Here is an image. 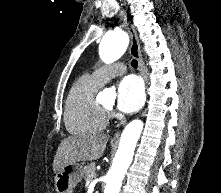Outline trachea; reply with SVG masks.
<instances>
[{"label":"trachea","instance_id":"trachea-1","mask_svg":"<svg viewBox=\"0 0 221 193\" xmlns=\"http://www.w3.org/2000/svg\"><path fill=\"white\" fill-rule=\"evenodd\" d=\"M137 65H138L137 60H136V59H133V60H132V66H133L134 68H137Z\"/></svg>","mask_w":221,"mask_h":193}]
</instances>
